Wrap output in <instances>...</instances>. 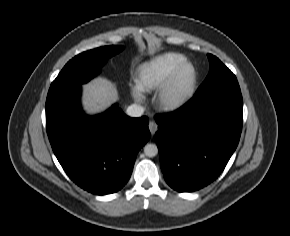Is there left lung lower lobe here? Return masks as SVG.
Instances as JSON below:
<instances>
[{"label": "left lung lower lobe", "mask_w": 290, "mask_h": 236, "mask_svg": "<svg viewBox=\"0 0 290 236\" xmlns=\"http://www.w3.org/2000/svg\"><path fill=\"white\" fill-rule=\"evenodd\" d=\"M155 120L167 184L179 192L201 189L221 174L238 145L243 123L239 84L196 92L184 106Z\"/></svg>", "instance_id": "left-lung-lower-lobe-1"}]
</instances>
